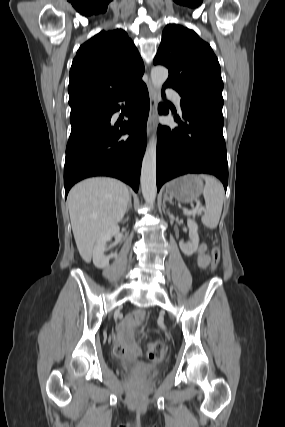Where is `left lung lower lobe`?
<instances>
[{"label": "left lung lower lobe", "mask_w": 285, "mask_h": 427, "mask_svg": "<svg viewBox=\"0 0 285 427\" xmlns=\"http://www.w3.org/2000/svg\"><path fill=\"white\" fill-rule=\"evenodd\" d=\"M182 111L186 121L177 116L178 128H158L157 190L165 182L187 173L215 175L226 190L228 164L222 113L203 108ZM168 112L165 105L159 106L160 114Z\"/></svg>", "instance_id": "left-lung-lower-lobe-1"}]
</instances>
